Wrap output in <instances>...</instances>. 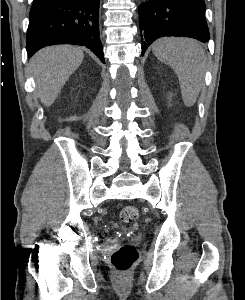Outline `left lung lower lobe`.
Returning <instances> with one entry per match:
<instances>
[{"mask_svg": "<svg viewBox=\"0 0 245 300\" xmlns=\"http://www.w3.org/2000/svg\"><path fill=\"white\" fill-rule=\"evenodd\" d=\"M139 18L142 56L163 36H185L202 42L210 38L204 0H149L140 4Z\"/></svg>", "mask_w": 245, "mask_h": 300, "instance_id": "0a47b994", "label": "left lung lower lobe"}]
</instances>
